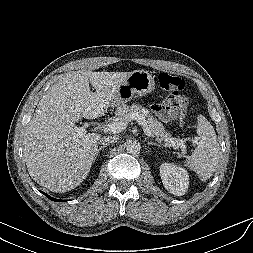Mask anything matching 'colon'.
Listing matches in <instances>:
<instances>
[{"instance_id": "obj_1", "label": "colon", "mask_w": 253, "mask_h": 253, "mask_svg": "<svg viewBox=\"0 0 253 253\" xmlns=\"http://www.w3.org/2000/svg\"><path fill=\"white\" fill-rule=\"evenodd\" d=\"M159 84L160 86L169 91L171 93L172 98H174L178 105L180 113L185 120L186 118V111L189 105L188 98L184 94V88L185 84L184 81L172 74H169L167 72H162L158 76Z\"/></svg>"}]
</instances>
